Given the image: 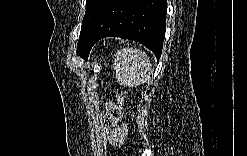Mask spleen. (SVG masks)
Returning a JSON list of instances; mask_svg holds the SVG:
<instances>
[{"instance_id":"1","label":"spleen","mask_w":247,"mask_h":156,"mask_svg":"<svg viewBox=\"0 0 247 156\" xmlns=\"http://www.w3.org/2000/svg\"><path fill=\"white\" fill-rule=\"evenodd\" d=\"M113 67L116 71L117 82L123 86H138L148 81L152 74L149 57L136 48L119 50Z\"/></svg>"}]
</instances>
